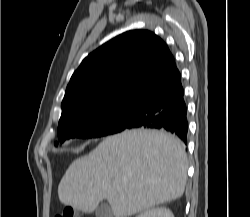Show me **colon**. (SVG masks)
<instances>
[{"instance_id":"1","label":"colon","mask_w":250,"mask_h":217,"mask_svg":"<svg viewBox=\"0 0 250 217\" xmlns=\"http://www.w3.org/2000/svg\"><path fill=\"white\" fill-rule=\"evenodd\" d=\"M55 217H80V216L74 209L67 208L61 214H58Z\"/></svg>"}]
</instances>
